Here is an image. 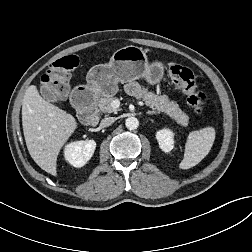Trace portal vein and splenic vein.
Here are the masks:
<instances>
[{"mask_svg": "<svg viewBox=\"0 0 252 252\" xmlns=\"http://www.w3.org/2000/svg\"><path fill=\"white\" fill-rule=\"evenodd\" d=\"M119 105H120V103H119L118 100H114V101L112 102V107L115 108V109L118 108Z\"/></svg>", "mask_w": 252, "mask_h": 252, "instance_id": "portal-vein-and-splenic-vein-1", "label": "portal vein and splenic vein"}]
</instances>
